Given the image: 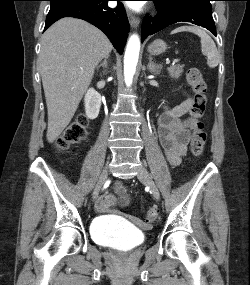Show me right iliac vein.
<instances>
[{
  "label": "right iliac vein",
  "mask_w": 250,
  "mask_h": 285,
  "mask_svg": "<svg viewBox=\"0 0 250 285\" xmlns=\"http://www.w3.org/2000/svg\"><path fill=\"white\" fill-rule=\"evenodd\" d=\"M108 178V165L105 166V168L103 169L100 177H99V180L94 188V191H93V200H96L98 195H99V192L102 188V186L104 185V183L106 182Z\"/></svg>",
  "instance_id": "63e3f726"
}]
</instances>
